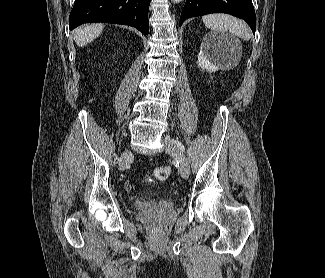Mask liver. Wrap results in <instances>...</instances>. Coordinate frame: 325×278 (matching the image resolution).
Wrapping results in <instances>:
<instances>
[{
  "label": "liver",
  "instance_id": "liver-1",
  "mask_svg": "<svg viewBox=\"0 0 325 278\" xmlns=\"http://www.w3.org/2000/svg\"><path fill=\"white\" fill-rule=\"evenodd\" d=\"M104 25L95 23L81 26L74 31V40L76 44L83 47L96 39L103 31Z\"/></svg>",
  "mask_w": 325,
  "mask_h": 278
}]
</instances>
